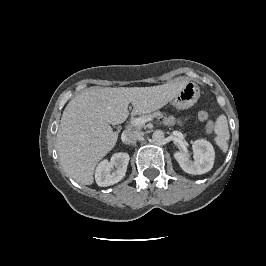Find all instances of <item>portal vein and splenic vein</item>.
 Here are the masks:
<instances>
[{"label":"portal vein and splenic vein","mask_w":266,"mask_h":266,"mask_svg":"<svg viewBox=\"0 0 266 266\" xmlns=\"http://www.w3.org/2000/svg\"><path fill=\"white\" fill-rule=\"evenodd\" d=\"M152 121V117H139L132 121L135 126H143L145 123Z\"/></svg>","instance_id":"18ae733b"}]
</instances>
